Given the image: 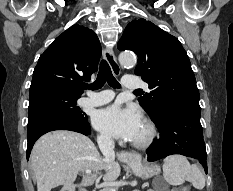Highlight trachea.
<instances>
[{
  "label": "trachea",
  "mask_w": 233,
  "mask_h": 191,
  "mask_svg": "<svg viewBox=\"0 0 233 191\" xmlns=\"http://www.w3.org/2000/svg\"><path fill=\"white\" fill-rule=\"evenodd\" d=\"M105 82H107L113 88L121 87L118 81L113 76L108 63L105 60H102L100 63L99 73L95 82H93L92 84H82V89L97 90L104 86ZM136 92H140V90H136Z\"/></svg>",
  "instance_id": "trachea-1"
}]
</instances>
